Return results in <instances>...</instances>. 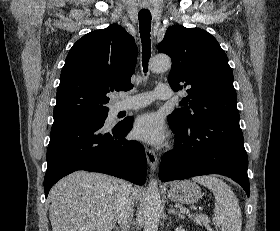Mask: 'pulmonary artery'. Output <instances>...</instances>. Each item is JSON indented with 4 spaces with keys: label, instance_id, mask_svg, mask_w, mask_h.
Here are the masks:
<instances>
[{
    "label": "pulmonary artery",
    "instance_id": "1",
    "mask_svg": "<svg viewBox=\"0 0 280 231\" xmlns=\"http://www.w3.org/2000/svg\"><path fill=\"white\" fill-rule=\"evenodd\" d=\"M173 96V92L166 84H159L153 92H145L135 97L136 101L120 104V111L142 108L155 99L167 100Z\"/></svg>",
    "mask_w": 280,
    "mask_h": 231
}]
</instances>
